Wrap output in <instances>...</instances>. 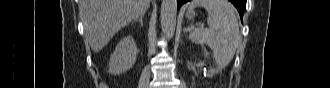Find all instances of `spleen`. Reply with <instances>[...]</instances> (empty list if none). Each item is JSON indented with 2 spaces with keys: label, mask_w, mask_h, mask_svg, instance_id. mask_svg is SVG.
Returning <instances> with one entry per match:
<instances>
[{
  "label": "spleen",
  "mask_w": 330,
  "mask_h": 88,
  "mask_svg": "<svg viewBox=\"0 0 330 88\" xmlns=\"http://www.w3.org/2000/svg\"><path fill=\"white\" fill-rule=\"evenodd\" d=\"M204 7L208 13V28L198 27L189 38L207 44L213 51L217 65L226 67L232 60L240 42L239 25L233 5L228 0H194L188 10Z\"/></svg>",
  "instance_id": "1"
}]
</instances>
